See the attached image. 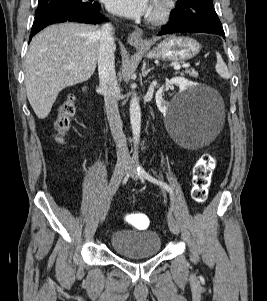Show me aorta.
I'll return each mask as SVG.
<instances>
[{"label":"aorta","instance_id":"1","mask_svg":"<svg viewBox=\"0 0 267 301\" xmlns=\"http://www.w3.org/2000/svg\"><path fill=\"white\" fill-rule=\"evenodd\" d=\"M130 123L132 128L133 141L135 145L134 154L137 157V144L139 142L141 131V110L138 97L135 93L133 94L130 102Z\"/></svg>","mask_w":267,"mask_h":301}]
</instances>
